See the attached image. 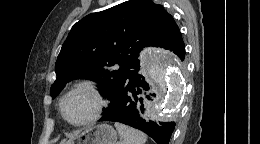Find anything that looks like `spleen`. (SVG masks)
I'll return each instance as SVG.
<instances>
[{"label":"spleen","mask_w":260,"mask_h":144,"mask_svg":"<svg viewBox=\"0 0 260 144\" xmlns=\"http://www.w3.org/2000/svg\"><path fill=\"white\" fill-rule=\"evenodd\" d=\"M114 126L118 130L120 136L119 144H145L146 136L141 131L121 123H115Z\"/></svg>","instance_id":"1"}]
</instances>
